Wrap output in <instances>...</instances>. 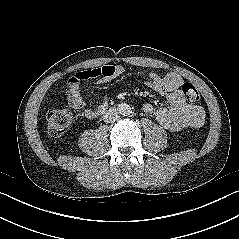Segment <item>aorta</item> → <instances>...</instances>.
<instances>
[{
    "mask_svg": "<svg viewBox=\"0 0 239 239\" xmlns=\"http://www.w3.org/2000/svg\"><path fill=\"white\" fill-rule=\"evenodd\" d=\"M131 108L129 105H124L122 108H121V114H123L124 116H127V115H130L131 113Z\"/></svg>",
    "mask_w": 239,
    "mask_h": 239,
    "instance_id": "762f6f07",
    "label": "aorta"
}]
</instances>
